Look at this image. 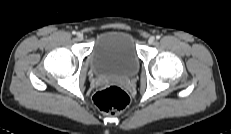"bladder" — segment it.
Here are the masks:
<instances>
[{"label":"bladder","mask_w":231,"mask_h":134,"mask_svg":"<svg viewBox=\"0 0 231 134\" xmlns=\"http://www.w3.org/2000/svg\"><path fill=\"white\" fill-rule=\"evenodd\" d=\"M90 56L91 68L98 75L130 76L139 65L136 41L131 33L122 30L99 34Z\"/></svg>","instance_id":"obj_1"}]
</instances>
